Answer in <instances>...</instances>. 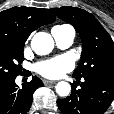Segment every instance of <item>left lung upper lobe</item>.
Here are the masks:
<instances>
[{
    "instance_id": "obj_1",
    "label": "left lung upper lobe",
    "mask_w": 114,
    "mask_h": 114,
    "mask_svg": "<svg viewBox=\"0 0 114 114\" xmlns=\"http://www.w3.org/2000/svg\"><path fill=\"white\" fill-rule=\"evenodd\" d=\"M51 11L79 32L83 48L73 76H102L114 79V42L97 19L87 11L64 6Z\"/></svg>"
}]
</instances>
